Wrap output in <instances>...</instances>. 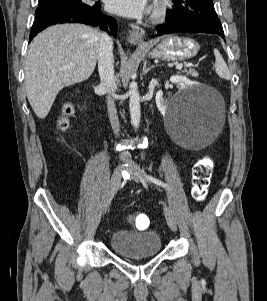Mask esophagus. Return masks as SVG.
Masks as SVG:
<instances>
[{
	"mask_svg": "<svg viewBox=\"0 0 267 301\" xmlns=\"http://www.w3.org/2000/svg\"><path fill=\"white\" fill-rule=\"evenodd\" d=\"M145 35V31L143 28L137 26V25H131V31L128 36V41L135 46H142L143 43V37Z\"/></svg>",
	"mask_w": 267,
	"mask_h": 301,
	"instance_id": "obj_1",
	"label": "esophagus"
}]
</instances>
